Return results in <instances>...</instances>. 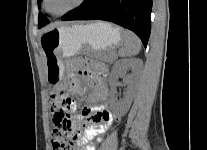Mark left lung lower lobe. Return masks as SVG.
I'll list each match as a JSON object with an SVG mask.
<instances>
[{
	"label": "left lung lower lobe",
	"instance_id": "left-lung-lower-lobe-1",
	"mask_svg": "<svg viewBox=\"0 0 207 150\" xmlns=\"http://www.w3.org/2000/svg\"><path fill=\"white\" fill-rule=\"evenodd\" d=\"M152 0H85L62 20H105L135 32L147 46Z\"/></svg>",
	"mask_w": 207,
	"mask_h": 150
}]
</instances>
